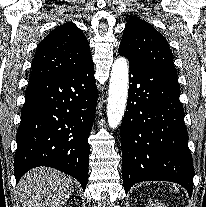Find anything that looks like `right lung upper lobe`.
Masks as SVG:
<instances>
[{
	"instance_id": "1",
	"label": "right lung upper lobe",
	"mask_w": 206,
	"mask_h": 207,
	"mask_svg": "<svg viewBox=\"0 0 206 207\" xmlns=\"http://www.w3.org/2000/svg\"><path fill=\"white\" fill-rule=\"evenodd\" d=\"M90 62L92 56L85 35L67 22L41 41L32 61L30 82L67 76Z\"/></svg>"
}]
</instances>
